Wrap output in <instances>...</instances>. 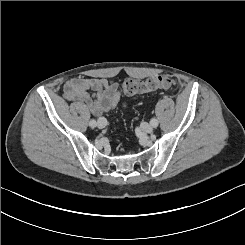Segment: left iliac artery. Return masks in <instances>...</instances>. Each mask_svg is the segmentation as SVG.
I'll return each mask as SVG.
<instances>
[{
    "label": "left iliac artery",
    "instance_id": "1",
    "mask_svg": "<svg viewBox=\"0 0 245 245\" xmlns=\"http://www.w3.org/2000/svg\"><path fill=\"white\" fill-rule=\"evenodd\" d=\"M150 124H151L153 127H157V126H158V120H156V119H151Z\"/></svg>",
    "mask_w": 245,
    "mask_h": 245
}]
</instances>
